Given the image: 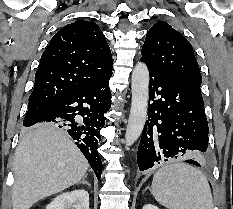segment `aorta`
Returning <instances> with one entry per match:
<instances>
[{
	"instance_id": "obj_1",
	"label": "aorta",
	"mask_w": 233,
	"mask_h": 209,
	"mask_svg": "<svg viewBox=\"0 0 233 209\" xmlns=\"http://www.w3.org/2000/svg\"><path fill=\"white\" fill-rule=\"evenodd\" d=\"M132 102L129 120L125 133V144L128 149L141 135L147 118L149 71L144 63H137L131 79Z\"/></svg>"
}]
</instances>
